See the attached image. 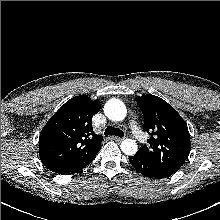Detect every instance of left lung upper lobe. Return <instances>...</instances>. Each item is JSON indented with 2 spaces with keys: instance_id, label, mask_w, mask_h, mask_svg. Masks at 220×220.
Wrapping results in <instances>:
<instances>
[{
  "instance_id": "left-lung-upper-lobe-1",
  "label": "left lung upper lobe",
  "mask_w": 220,
  "mask_h": 220,
  "mask_svg": "<svg viewBox=\"0 0 220 220\" xmlns=\"http://www.w3.org/2000/svg\"><path fill=\"white\" fill-rule=\"evenodd\" d=\"M136 101L144 115L143 129L151 136L149 145H142L137 153L167 170L178 171L191 150L186 122L170 104L155 95H143Z\"/></svg>"
}]
</instances>
